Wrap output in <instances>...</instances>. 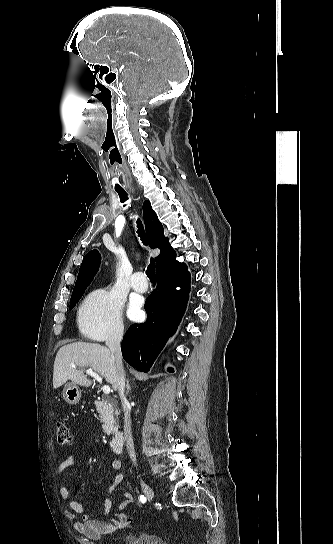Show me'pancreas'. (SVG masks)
Here are the masks:
<instances>
[{
	"label": "pancreas",
	"instance_id": "cf45deb5",
	"mask_svg": "<svg viewBox=\"0 0 333 544\" xmlns=\"http://www.w3.org/2000/svg\"><path fill=\"white\" fill-rule=\"evenodd\" d=\"M96 409L99 413L102 428L106 435H110L117 429L118 410L116 405L107 400L95 401Z\"/></svg>",
	"mask_w": 333,
	"mask_h": 544
}]
</instances>
